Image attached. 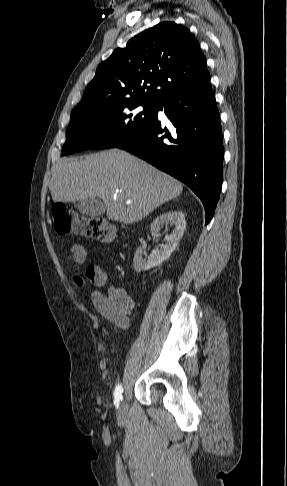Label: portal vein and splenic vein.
Returning <instances> with one entry per match:
<instances>
[{
    "instance_id": "portal-vein-and-splenic-vein-1",
    "label": "portal vein and splenic vein",
    "mask_w": 287,
    "mask_h": 486,
    "mask_svg": "<svg viewBox=\"0 0 287 486\" xmlns=\"http://www.w3.org/2000/svg\"><path fill=\"white\" fill-rule=\"evenodd\" d=\"M131 203V201H127V204Z\"/></svg>"
}]
</instances>
